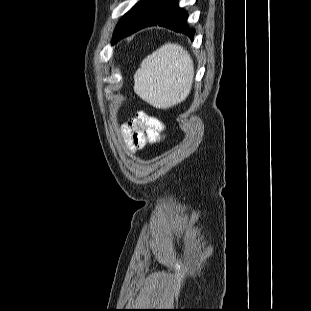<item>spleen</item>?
<instances>
[{"label":"spleen","instance_id":"spleen-1","mask_svg":"<svg viewBox=\"0 0 311 311\" xmlns=\"http://www.w3.org/2000/svg\"><path fill=\"white\" fill-rule=\"evenodd\" d=\"M194 78V64L180 45L166 43L141 63L134 75V92L156 108L167 109L184 101Z\"/></svg>","mask_w":311,"mask_h":311}]
</instances>
